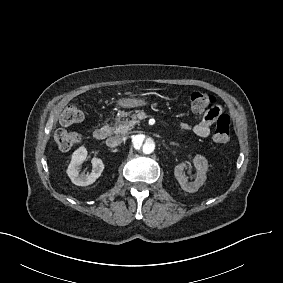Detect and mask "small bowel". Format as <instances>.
I'll return each mask as SVG.
<instances>
[{
	"label": "small bowel",
	"instance_id": "obj_1",
	"mask_svg": "<svg viewBox=\"0 0 283 283\" xmlns=\"http://www.w3.org/2000/svg\"><path fill=\"white\" fill-rule=\"evenodd\" d=\"M228 109L229 106L224 101H221L218 104L211 102L206 106L204 115L197 124H182V127L186 130L192 131L194 134L201 138H206L210 134V127L212 122L226 113Z\"/></svg>",
	"mask_w": 283,
	"mask_h": 283
}]
</instances>
